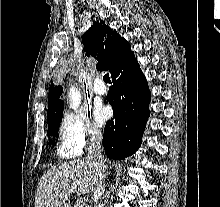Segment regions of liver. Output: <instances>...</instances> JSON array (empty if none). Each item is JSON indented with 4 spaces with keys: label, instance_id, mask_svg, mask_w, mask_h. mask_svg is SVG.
I'll list each match as a JSON object with an SVG mask.
<instances>
[{
    "label": "liver",
    "instance_id": "liver-1",
    "mask_svg": "<svg viewBox=\"0 0 220 207\" xmlns=\"http://www.w3.org/2000/svg\"><path fill=\"white\" fill-rule=\"evenodd\" d=\"M98 180V171L87 160L77 159L57 165L40 178L35 207H62L73 193L92 192Z\"/></svg>",
    "mask_w": 220,
    "mask_h": 207
}]
</instances>
